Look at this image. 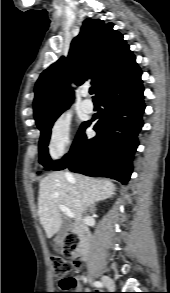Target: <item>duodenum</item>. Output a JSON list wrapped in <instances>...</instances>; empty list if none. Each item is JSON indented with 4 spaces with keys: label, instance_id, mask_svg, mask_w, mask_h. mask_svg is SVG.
<instances>
[{
    "label": "duodenum",
    "instance_id": "410a0bca",
    "mask_svg": "<svg viewBox=\"0 0 170 293\" xmlns=\"http://www.w3.org/2000/svg\"><path fill=\"white\" fill-rule=\"evenodd\" d=\"M74 234L79 238L81 243L80 258L86 259L89 255L90 243L92 239L91 232L84 228H74Z\"/></svg>",
    "mask_w": 170,
    "mask_h": 293
}]
</instances>
